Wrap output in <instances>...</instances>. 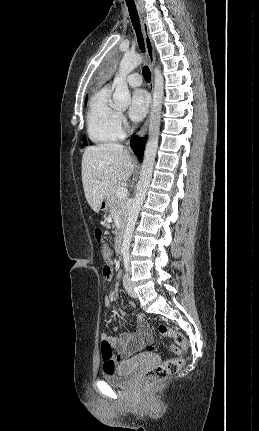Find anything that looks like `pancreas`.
<instances>
[{
    "label": "pancreas",
    "mask_w": 259,
    "mask_h": 431,
    "mask_svg": "<svg viewBox=\"0 0 259 431\" xmlns=\"http://www.w3.org/2000/svg\"><path fill=\"white\" fill-rule=\"evenodd\" d=\"M119 187H121V185L117 184L111 189L108 195V208L112 215L113 213L118 214L120 223L123 224L127 214V200L125 198L120 199L117 197L116 193Z\"/></svg>",
    "instance_id": "1"
}]
</instances>
